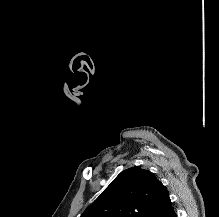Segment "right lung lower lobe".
<instances>
[{"label":"right lung lower lobe","instance_id":"right-lung-lower-lobe-1","mask_svg":"<svg viewBox=\"0 0 219 217\" xmlns=\"http://www.w3.org/2000/svg\"><path fill=\"white\" fill-rule=\"evenodd\" d=\"M166 217H177L173 208L170 209V211L167 213Z\"/></svg>","mask_w":219,"mask_h":217}]
</instances>
